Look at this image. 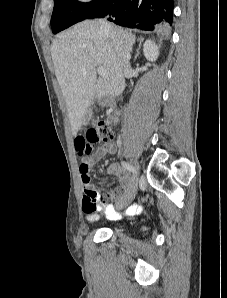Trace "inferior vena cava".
Wrapping results in <instances>:
<instances>
[{"instance_id":"obj_1","label":"inferior vena cava","mask_w":227,"mask_h":298,"mask_svg":"<svg viewBox=\"0 0 227 298\" xmlns=\"http://www.w3.org/2000/svg\"><path fill=\"white\" fill-rule=\"evenodd\" d=\"M100 27L103 32H111L113 31L111 25L106 21V19H100ZM130 53L125 49L122 50V62H123V70L124 72H128L131 69L130 66Z\"/></svg>"}]
</instances>
